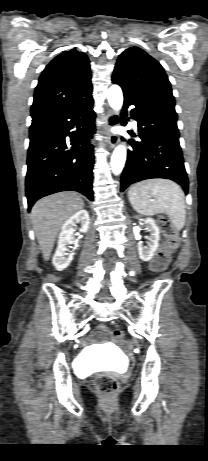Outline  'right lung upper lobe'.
<instances>
[{"instance_id": "cb5924a9", "label": "right lung upper lobe", "mask_w": 208, "mask_h": 461, "mask_svg": "<svg viewBox=\"0 0 208 461\" xmlns=\"http://www.w3.org/2000/svg\"><path fill=\"white\" fill-rule=\"evenodd\" d=\"M91 98L88 57L75 48L64 51L42 71L31 107L32 122L81 106Z\"/></svg>"}]
</instances>
